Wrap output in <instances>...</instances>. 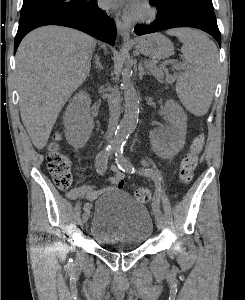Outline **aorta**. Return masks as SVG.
I'll return each instance as SVG.
<instances>
[{"mask_svg":"<svg viewBox=\"0 0 245 300\" xmlns=\"http://www.w3.org/2000/svg\"><path fill=\"white\" fill-rule=\"evenodd\" d=\"M121 86L124 94L125 110L123 119L118 125L112 141V146L116 149L121 148L131 132L135 130L139 115L138 95L127 70L122 71Z\"/></svg>","mask_w":245,"mask_h":300,"instance_id":"1","label":"aorta"}]
</instances>
